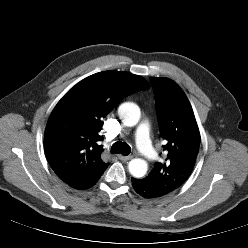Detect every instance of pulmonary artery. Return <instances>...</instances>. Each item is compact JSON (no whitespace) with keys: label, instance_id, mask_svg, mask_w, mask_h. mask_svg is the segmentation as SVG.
I'll use <instances>...</instances> for the list:
<instances>
[{"label":"pulmonary artery","instance_id":"pulmonary-artery-1","mask_svg":"<svg viewBox=\"0 0 248 248\" xmlns=\"http://www.w3.org/2000/svg\"><path fill=\"white\" fill-rule=\"evenodd\" d=\"M149 125L147 122H141L135 133V140L138 150L149 159L157 156L156 151L151 145L149 138Z\"/></svg>","mask_w":248,"mask_h":248}]
</instances>
